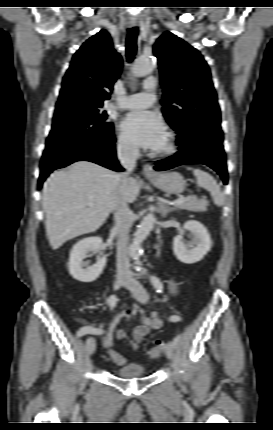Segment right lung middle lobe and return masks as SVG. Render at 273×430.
<instances>
[{"instance_id": "right-lung-middle-lobe-1", "label": "right lung middle lobe", "mask_w": 273, "mask_h": 430, "mask_svg": "<svg viewBox=\"0 0 273 430\" xmlns=\"http://www.w3.org/2000/svg\"><path fill=\"white\" fill-rule=\"evenodd\" d=\"M101 107L81 101L56 107L43 155L89 142L112 140L113 124L105 122L107 114Z\"/></svg>"}]
</instances>
